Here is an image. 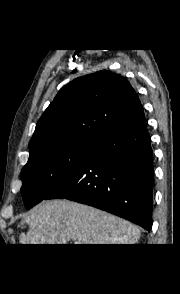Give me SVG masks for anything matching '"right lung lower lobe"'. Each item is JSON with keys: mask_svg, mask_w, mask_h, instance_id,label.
<instances>
[{"mask_svg": "<svg viewBox=\"0 0 180 294\" xmlns=\"http://www.w3.org/2000/svg\"><path fill=\"white\" fill-rule=\"evenodd\" d=\"M153 183L152 148L141 105L103 135L75 172L46 199L87 204L150 231Z\"/></svg>", "mask_w": 180, "mask_h": 294, "instance_id": "98d812e1", "label": "right lung lower lobe"}]
</instances>
